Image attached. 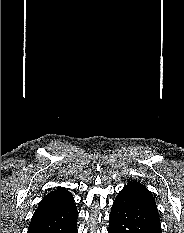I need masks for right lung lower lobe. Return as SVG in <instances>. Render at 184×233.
Returning <instances> with one entry per match:
<instances>
[{"instance_id":"right-lung-lower-lobe-1","label":"right lung lower lobe","mask_w":184,"mask_h":233,"mask_svg":"<svg viewBox=\"0 0 184 233\" xmlns=\"http://www.w3.org/2000/svg\"><path fill=\"white\" fill-rule=\"evenodd\" d=\"M76 205L32 217L28 233H77Z\"/></svg>"}]
</instances>
